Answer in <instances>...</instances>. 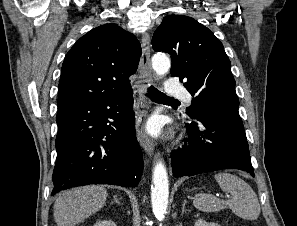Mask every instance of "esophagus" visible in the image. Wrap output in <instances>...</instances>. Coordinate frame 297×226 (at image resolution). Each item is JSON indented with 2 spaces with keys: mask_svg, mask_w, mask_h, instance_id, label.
I'll return each mask as SVG.
<instances>
[{
  "mask_svg": "<svg viewBox=\"0 0 297 226\" xmlns=\"http://www.w3.org/2000/svg\"><path fill=\"white\" fill-rule=\"evenodd\" d=\"M142 53L140 58V72L143 78L142 84L137 87L136 95L138 102H142L145 100V88L147 85H150L152 80V70L150 63V35L148 33H144L142 36ZM142 116L143 112L140 111L138 114V127H137V138L140 145L143 149L151 154L154 150V145L152 140L144 133L142 127Z\"/></svg>",
  "mask_w": 297,
  "mask_h": 226,
  "instance_id": "1",
  "label": "esophagus"
}]
</instances>
